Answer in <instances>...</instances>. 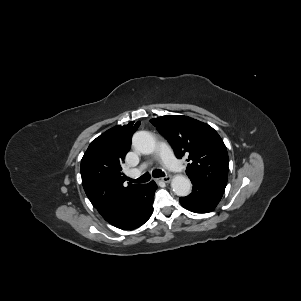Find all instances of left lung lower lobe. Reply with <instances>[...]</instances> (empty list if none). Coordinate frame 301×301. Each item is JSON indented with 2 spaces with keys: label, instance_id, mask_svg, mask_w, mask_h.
<instances>
[{
  "label": "left lung lower lobe",
  "instance_id": "1",
  "mask_svg": "<svg viewBox=\"0 0 301 301\" xmlns=\"http://www.w3.org/2000/svg\"><path fill=\"white\" fill-rule=\"evenodd\" d=\"M191 182L193 183L192 193L179 199L182 206L195 213H208L214 210L224 190L203 184L198 180Z\"/></svg>",
  "mask_w": 301,
  "mask_h": 301
}]
</instances>
